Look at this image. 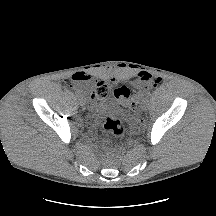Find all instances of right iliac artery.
<instances>
[{"mask_svg":"<svg viewBox=\"0 0 216 216\" xmlns=\"http://www.w3.org/2000/svg\"><path fill=\"white\" fill-rule=\"evenodd\" d=\"M76 95L79 99L82 97L78 92L76 93Z\"/></svg>","mask_w":216,"mask_h":216,"instance_id":"right-iliac-artery-1","label":"right iliac artery"}]
</instances>
